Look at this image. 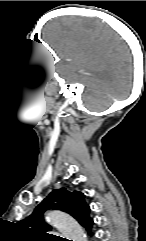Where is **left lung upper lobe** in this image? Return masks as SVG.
<instances>
[{"label": "left lung upper lobe", "mask_w": 146, "mask_h": 241, "mask_svg": "<svg viewBox=\"0 0 146 241\" xmlns=\"http://www.w3.org/2000/svg\"><path fill=\"white\" fill-rule=\"evenodd\" d=\"M84 194L81 192H71L66 188L52 191L25 219L21 225L46 240H58L59 237L48 234L52 228L43 218L46 210H61L74 217L82 226L91 221L89 216L90 207L86 204Z\"/></svg>", "instance_id": "1"}]
</instances>
